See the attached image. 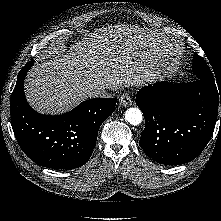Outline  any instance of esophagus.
<instances>
[{
    "label": "esophagus",
    "instance_id": "obj_1",
    "mask_svg": "<svg viewBox=\"0 0 221 221\" xmlns=\"http://www.w3.org/2000/svg\"><path fill=\"white\" fill-rule=\"evenodd\" d=\"M119 104L122 107H128L132 104V99L130 97V95L128 94H123L120 99H119Z\"/></svg>",
    "mask_w": 221,
    "mask_h": 221
}]
</instances>
